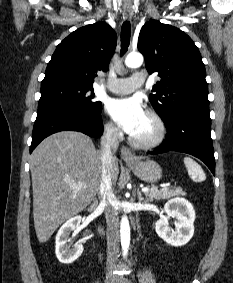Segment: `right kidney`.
<instances>
[{
    "instance_id": "ca27d5eb",
    "label": "right kidney",
    "mask_w": 233,
    "mask_h": 283,
    "mask_svg": "<svg viewBox=\"0 0 233 283\" xmlns=\"http://www.w3.org/2000/svg\"><path fill=\"white\" fill-rule=\"evenodd\" d=\"M81 229H83L81 216L70 218L59 229L56 235L55 253L61 263L71 264L81 256L84 250L83 240L75 243L72 249L67 244L70 241L69 235L71 231Z\"/></svg>"
}]
</instances>
